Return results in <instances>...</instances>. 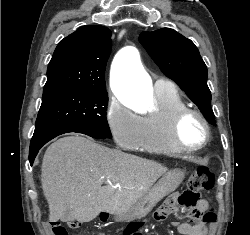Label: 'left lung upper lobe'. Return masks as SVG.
<instances>
[{
    "instance_id": "obj_1",
    "label": "left lung upper lobe",
    "mask_w": 250,
    "mask_h": 235,
    "mask_svg": "<svg viewBox=\"0 0 250 235\" xmlns=\"http://www.w3.org/2000/svg\"><path fill=\"white\" fill-rule=\"evenodd\" d=\"M139 41L161 71L185 91L210 123L215 124L207 67L194 43L170 28L142 32Z\"/></svg>"
}]
</instances>
